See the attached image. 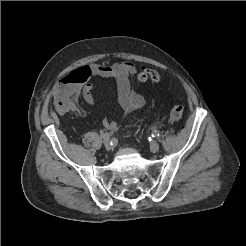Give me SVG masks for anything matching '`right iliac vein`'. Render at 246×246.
Masks as SVG:
<instances>
[{"label": "right iliac vein", "mask_w": 246, "mask_h": 246, "mask_svg": "<svg viewBox=\"0 0 246 246\" xmlns=\"http://www.w3.org/2000/svg\"><path fill=\"white\" fill-rule=\"evenodd\" d=\"M104 146L107 150H110L112 148L111 141L109 139H104Z\"/></svg>", "instance_id": "1"}]
</instances>
